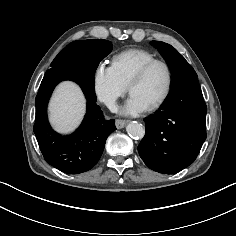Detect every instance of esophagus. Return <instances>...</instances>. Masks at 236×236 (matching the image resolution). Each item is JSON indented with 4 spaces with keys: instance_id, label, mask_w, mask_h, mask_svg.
Instances as JSON below:
<instances>
[{
    "instance_id": "1",
    "label": "esophagus",
    "mask_w": 236,
    "mask_h": 236,
    "mask_svg": "<svg viewBox=\"0 0 236 236\" xmlns=\"http://www.w3.org/2000/svg\"><path fill=\"white\" fill-rule=\"evenodd\" d=\"M127 123H128V121H126V120H121V119H117V120L115 121V125H116V128H117V129H122V128H124Z\"/></svg>"
}]
</instances>
